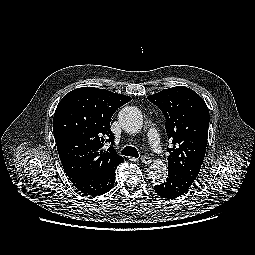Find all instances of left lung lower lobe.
I'll return each instance as SVG.
<instances>
[{
	"mask_svg": "<svg viewBox=\"0 0 255 255\" xmlns=\"http://www.w3.org/2000/svg\"><path fill=\"white\" fill-rule=\"evenodd\" d=\"M193 181L186 177L168 172L166 181L160 185L154 186L155 192L162 198L175 199L184 194Z\"/></svg>",
	"mask_w": 255,
	"mask_h": 255,
	"instance_id": "1",
	"label": "left lung lower lobe"
}]
</instances>
